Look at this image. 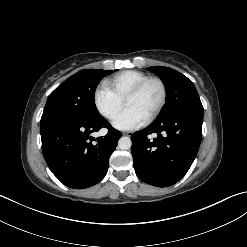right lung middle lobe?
<instances>
[{
    "instance_id": "1",
    "label": "right lung middle lobe",
    "mask_w": 247,
    "mask_h": 247,
    "mask_svg": "<svg viewBox=\"0 0 247 247\" xmlns=\"http://www.w3.org/2000/svg\"><path fill=\"white\" fill-rule=\"evenodd\" d=\"M116 70L86 69L59 85L48 97L41 119L64 115L82 120H95L99 114L94 95L98 83Z\"/></svg>"
}]
</instances>
